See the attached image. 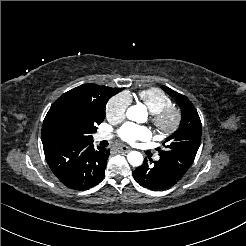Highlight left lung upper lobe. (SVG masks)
I'll return each mask as SVG.
<instances>
[{
    "instance_id": "obj_1",
    "label": "left lung upper lobe",
    "mask_w": 246,
    "mask_h": 246,
    "mask_svg": "<svg viewBox=\"0 0 246 246\" xmlns=\"http://www.w3.org/2000/svg\"><path fill=\"white\" fill-rule=\"evenodd\" d=\"M181 108V122L178 130L168 137L160 150V158L176 165L183 172H187L192 165L201 142V121L199 115L184 95L177 93L167 86L161 87Z\"/></svg>"
}]
</instances>
